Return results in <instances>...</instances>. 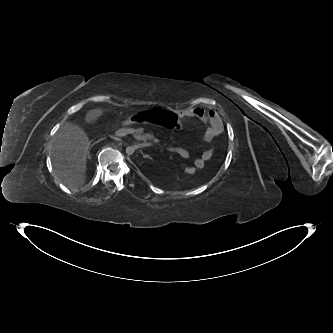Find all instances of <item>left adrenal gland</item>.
<instances>
[{
	"mask_svg": "<svg viewBox=\"0 0 333 333\" xmlns=\"http://www.w3.org/2000/svg\"><path fill=\"white\" fill-rule=\"evenodd\" d=\"M143 157H144V158H150L149 155H145V154L143 155Z\"/></svg>",
	"mask_w": 333,
	"mask_h": 333,
	"instance_id": "a2214340",
	"label": "left adrenal gland"
}]
</instances>
